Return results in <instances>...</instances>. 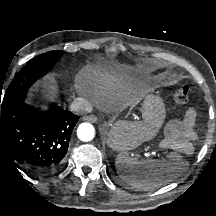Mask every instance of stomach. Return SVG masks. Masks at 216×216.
<instances>
[{"instance_id":"obj_1","label":"stomach","mask_w":216,"mask_h":216,"mask_svg":"<svg viewBox=\"0 0 216 216\" xmlns=\"http://www.w3.org/2000/svg\"><path fill=\"white\" fill-rule=\"evenodd\" d=\"M141 112V122H118L110 125L106 142L113 150H133L158 133L166 116L161 97L146 94L141 104Z\"/></svg>"}]
</instances>
